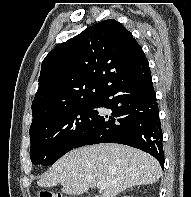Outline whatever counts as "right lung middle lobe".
<instances>
[{"mask_svg": "<svg viewBox=\"0 0 191 197\" xmlns=\"http://www.w3.org/2000/svg\"><path fill=\"white\" fill-rule=\"evenodd\" d=\"M97 101L59 112L29 130L32 163L48 166L72 150L94 123Z\"/></svg>", "mask_w": 191, "mask_h": 197, "instance_id": "dd1d6c3e", "label": "right lung middle lobe"}]
</instances>
